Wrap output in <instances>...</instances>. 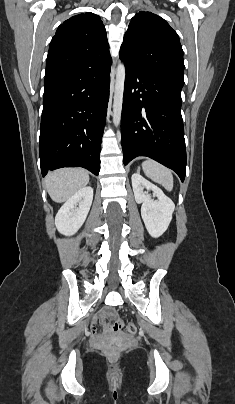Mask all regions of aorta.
Instances as JSON below:
<instances>
[{
    "instance_id": "762f6f07",
    "label": "aorta",
    "mask_w": 235,
    "mask_h": 404,
    "mask_svg": "<svg viewBox=\"0 0 235 404\" xmlns=\"http://www.w3.org/2000/svg\"><path fill=\"white\" fill-rule=\"evenodd\" d=\"M126 69L123 63H120L116 72L114 101H113V123L118 126L121 121L124 83H125Z\"/></svg>"
}]
</instances>
